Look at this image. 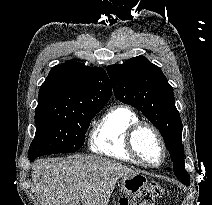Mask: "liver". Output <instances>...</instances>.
Listing matches in <instances>:
<instances>
[{
  "label": "liver",
  "mask_w": 212,
  "mask_h": 205,
  "mask_svg": "<svg viewBox=\"0 0 212 205\" xmlns=\"http://www.w3.org/2000/svg\"><path fill=\"white\" fill-rule=\"evenodd\" d=\"M130 168L97 156L39 160L32 181L41 205H107L117 180Z\"/></svg>",
  "instance_id": "obj_1"
}]
</instances>
